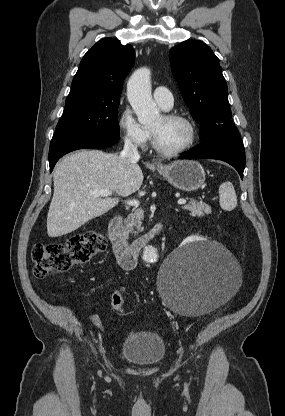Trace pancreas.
I'll use <instances>...</instances> for the list:
<instances>
[{
	"mask_svg": "<svg viewBox=\"0 0 285 416\" xmlns=\"http://www.w3.org/2000/svg\"><path fill=\"white\" fill-rule=\"evenodd\" d=\"M182 208L183 210H189L190 216H194V218L195 216H197V218H202V216L210 214L211 212L210 206H207V204H198L193 198H190L189 204H187V206H182ZM142 220H144L143 210H135L134 214H129L124 222L125 232H130V234L138 236L139 232L142 230Z\"/></svg>",
	"mask_w": 285,
	"mask_h": 416,
	"instance_id": "cf45deb5",
	"label": "pancreas"
}]
</instances>
